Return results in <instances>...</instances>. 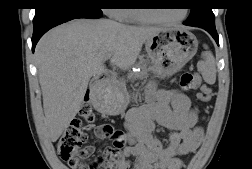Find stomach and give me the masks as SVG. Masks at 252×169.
I'll list each match as a JSON object with an SVG mask.
<instances>
[{"label": "stomach", "instance_id": "stomach-1", "mask_svg": "<svg viewBox=\"0 0 252 169\" xmlns=\"http://www.w3.org/2000/svg\"><path fill=\"white\" fill-rule=\"evenodd\" d=\"M152 71L160 76H171L180 71L196 54L198 41L189 31L179 27L162 28L145 41ZM100 110L109 115L122 113L132 96L124 86L114 84L97 94ZM136 96H133L135 99Z\"/></svg>", "mask_w": 252, "mask_h": 169}]
</instances>
